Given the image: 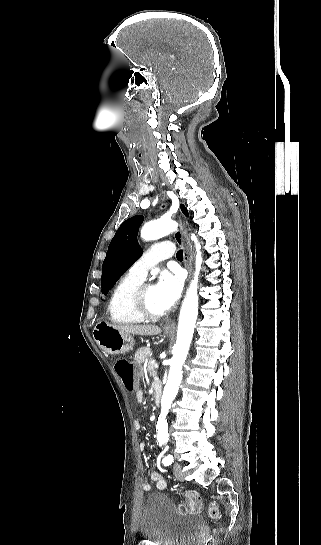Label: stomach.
I'll use <instances>...</instances> for the list:
<instances>
[{"mask_svg": "<svg viewBox=\"0 0 321 545\" xmlns=\"http://www.w3.org/2000/svg\"><path fill=\"white\" fill-rule=\"evenodd\" d=\"M164 333L171 335V331H168L165 327ZM93 339L96 341L98 347L104 353H109V355H123V353H128V351H132L135 343L132 335H123V333L111 327L106 321H100V323L95 325Z\"/></svg>", "mask_w": 321, "mask_h": 545, "instance_id": "1", "label": "stomach"}]
</instances>
